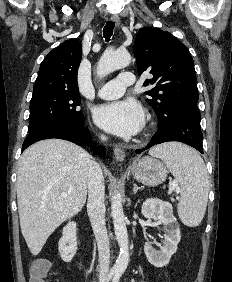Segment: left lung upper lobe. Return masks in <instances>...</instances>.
<instances>
[{
  "label": "left lung upper lobe",
  "instance_id": "obj_1",
  "mask_svg": "<svg viewBox=\"0 0 232 282\" xmlns=\"http://www.w3.org/2000/svg\"><path fill=\"white\" fill-rule=\"evenodd\" d=\"M133 52L139 75L147 71L153 75L144 86L157 116H163L180 101L197 105L198 89L192 56L177 38L159 28H142L137 33Z\"/></svg>",
  "mask_w": 232,
  "mask_h": 282
}]
</instances>
